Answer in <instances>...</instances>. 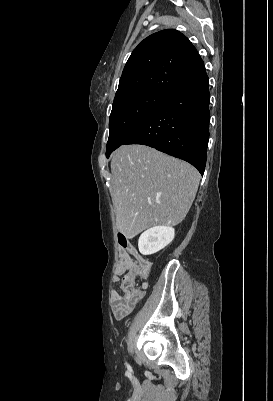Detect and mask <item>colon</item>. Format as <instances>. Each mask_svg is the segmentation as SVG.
Instances as JSON below:
<instances>
[{"label":"colon","mask_w":273,"mask_h":401,"mask_svg":"<svg viewBox=\"0 0 273 401\" xmlns=\"http://www.w3.org/2000/svg\"><path fill=\"white\" fill-rule=\"evenodd\" d=\"M120 255L124 256L125 252L121 251ZM151 268L152 263L147 257L138 262V267L136 261H121L118 274L122 276L123 284H118L117 288H114V297H125L126 293L130 297H142L144 295V286L143 284H137L132 270H136L139 280H144V276H149Z\"/></svg>","instance_id":"5ec220e1"}]
</instances>
